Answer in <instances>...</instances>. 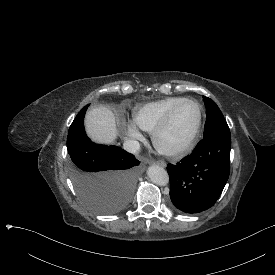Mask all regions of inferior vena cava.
<instances>
[{
    "label": "inferior vena cava",
    "mask_w": 275,
    "mask_h": 275,
    "mask_svg": "<svg viewBox=\"0 0 275 275\" xmlns=\"http://www.w3.org/2000/svg\"><path fill=\"white\" fill-rule=\"evenodd\" d=\"M123 148L129 153L135 154L140 150V143L136 140H126L123 144Z\"/></svg>",
    "instance_id": "602c4592"
}]
</instances>
